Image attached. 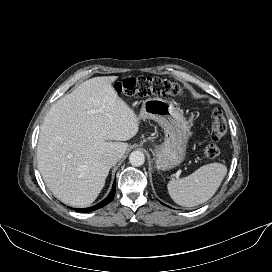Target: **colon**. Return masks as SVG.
I'll return each instance as SVG.
<instances>
[{"label":"colon","mask_w":272,"mask_h":272,"mask_svg":"<svg viewBox=\"0 0 272 272\" xmlns=\"http://www.w3.org/2000/svg\"><path fill=\"white\" fill-rule=\"evenodd\" d=\"M115 90L124 96L145 97L149 95L179 96L182 93L180 85L168 79L155 77H131L125 78L115 84ZM227 130L226 119L220 109L212 112L211 123L207 130L208 138L211 141L220 139ZM219 148L216 144L210 143L204 149V155L208 159H214L219 155Z\"/></svg>","instance_id":"1"}]
</instances>
